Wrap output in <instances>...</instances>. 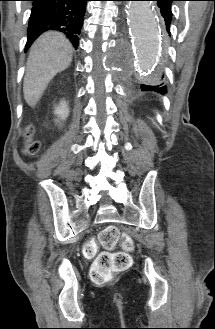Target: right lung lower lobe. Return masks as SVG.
<instances>
[{
    "label": "right lung lower lobe",
    "instance_id": "right-lung-lower-lobe-1",
    "mask_svg": "<svg viewBox=\"0 0 215 329\" xmlns=\"http://www.w3.org/2000/svg\"><path fill=\"white\" fill-rule=\"evenodd\" d=\"M33 8L29 18L25 51L43 32L55 29L66 34L78 47L86 3L88 0H30Z\"/></svg>",
    "mask_w": 215,
    "mask_h": 329
}]
</instances>
